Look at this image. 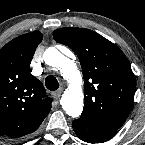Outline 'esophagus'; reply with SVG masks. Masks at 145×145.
Returning <instances> with one entry per match:
<instances>
[{"label": "esophagus", "instance_id": "esophagus-1", "mask_svg": "<svg viewBox=\"0 0 145 145\" xmlns=\"http://www.w3.org/2000/svg\"><path fill=\"white\" fill-rule=\"evenodd\" d=\"M62 92H63V89L60 88V89H58L57 91L53 92L52 95H53V97H54L55 99H59L60 96H61V94H62Z\"/></svg>", "mask_w": 145, "mask_h": 145}]
</instances>
